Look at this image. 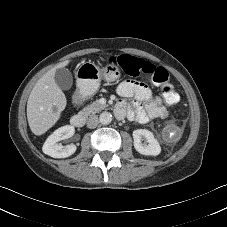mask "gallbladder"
<instances>
[{
	"mask_svg": "<svg viewBox=\"0 0 227 227\" xmlns=\"http://www.w3.org/2000/svg\"><path fill=\"white\" fill-rule=\"evenodd\" d=\"M55 82L62 90H68L73 84V77L67 68H60L56 70Z\"/></svg>",
	"mask_w": 227,
	"mask_h": 227,
	"instance_id": "1",
	"label": "gallbladder"
}]
</instances>
